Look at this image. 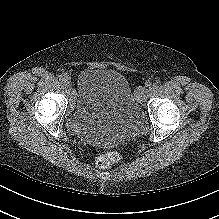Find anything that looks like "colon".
Wrapping results in <instances>:
<instances>
[{
    "label": "colon",
    "mask_w": 219,
    "mask_h": 219,
    "mask_svg": "<svg viewBox=\"0 0 219 219\" xmlns=\"http://www.w3.org/2000/svg\"><path fill=\"white\" fill-rule=\"evenodd\" d=\"M121 159L122 156L119 152L112 151L99 156L96 160V165L101 169H108L119 163Z\"/></svg>",
    "instance_id": "obj_1"
}]
</instances>
